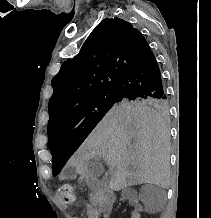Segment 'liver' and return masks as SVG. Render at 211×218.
I'll list each match as a JSON object with an SVG mask.
<instances>
[{"label":"liver","mask_w":211,"mask_h":218,"mask_svg":"<svg viewBox=\"0 0 211 218\" xmlns=\"http://www.w3.org/2000/svg\"><path fill=\"white\" fill-rule=\"evenodd\" d=\"M92 158H103L116 166L113 188L137 184L168 188L169 130L162 116L150 108L113 106L89 134L68 166L85 178Z\"/></svg>","instance_id":"6515ba94"}]
</instances>
